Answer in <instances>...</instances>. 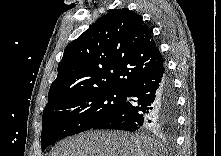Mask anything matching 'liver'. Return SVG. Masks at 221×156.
<instances>
[{"label":"liver","mask_w":221,"mask_h":156,"mask_svg":"<svg viewBox=\"0 0 221 156\" xmlns=\"http://www.w3.org/2000/svg\"><path fill=\"white\" fill-rule=\"evenodd\" d=\"M51 156H163V147L144 135L91 130L62 140Z\"/></svg>","instance_id":"1"}]
</instances>
